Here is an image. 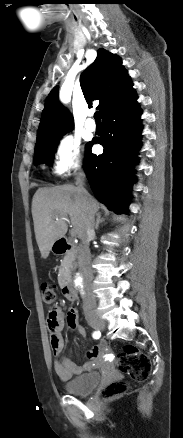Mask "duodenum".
<instances>
[{
  "mask_svg": "<svg viewBox=\"0 0 183 438\" xmlns=\"http://www.w3.org/2000/svg\"><path fill=\"white\" fill-rule=\"evenodd\" d=\"M55 249L56 253L64 255L72 250V245L66 238H61L56 241ZM63 292L65 293L68 300L75 301L77 299L76 290L70 281H66L63 284Z\"/></svg>",
  "mask_w": 183,
  "mask_h": 438,
  "instance_id": "410a0bca",
  "label": "duodenum"
}]
</instances>
